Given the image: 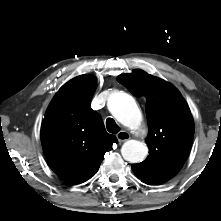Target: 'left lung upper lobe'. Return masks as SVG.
I'll use <instances>...</instances> for the list:
<instances>
[{"instance_id": "obj_1", "label": "left lung upper lobe", "mask_w": 221, "mask_h": 221, "mask_svg": "<svg viewBox=\"0 0 221 221\" xmlns=\"http://www.w3.org/2000/svg\"><path fill=\"white\" fill-rule=\"evenodd\" d=\"M117 81L147 100L149 156L132 169L142 182L162 184L178 173L188 157L194 136L190 109L173 85L142 70L122 74Z\"/></svg>"}]
</instances>
